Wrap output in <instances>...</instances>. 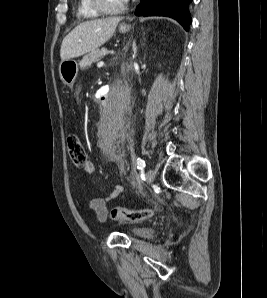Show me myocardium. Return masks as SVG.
<instances>
[{"label": "myocardium", "instance_id": "obj_1", "mask_svg": "<svg viewBox=\"0 0 267 298\" xmlns=\"http://www.w3.org/2000/svg\"><path fill=\"white\" fill-rule=\"evenodd\" d=\"M93 7L100 13L103 15H114V14H119L121 12H123L126 7L127 4L126 2H124L123 5H121L120 7L117 8H109L105 2V0H91Z\"/></svg>", "mask_w": 267, "mask_h": 298}]
</instances>
